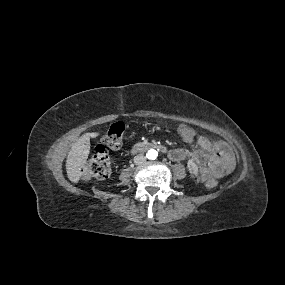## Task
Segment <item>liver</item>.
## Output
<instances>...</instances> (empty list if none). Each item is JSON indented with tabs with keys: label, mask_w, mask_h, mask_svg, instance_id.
Wrapping results in <instances>:
<instances>
[{
	"label": "liver",
	"mask_w": 285,
	"mask_h": 285,
	"mask_svg": "<svg viewBox=\"0 0 285 285\" xmlns=\"http://www.w3.org/2000/svg\"><path fill=\"white\" fill-rule=\"evenodd\" d=\"M96 133H85L72 145L66 161V171L72 183H78L90 152V138H95Z\"/></svg>",
	"instance_id": "6515ba94"
}]
</instances>
